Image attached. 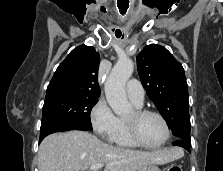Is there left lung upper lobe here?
Instances as JSON below:
<instances>
[{"instance_id": "left-lung-upper-lobe-1", "label": "left lung upper lobe", "mask_w": 223, "mask_h": 171, "mask_svg": "<svg viewBox=\"0 0 223 171\" xmlns=\"http://www.w3.org/2000/svg\"><path fill=\"white\" fill-rule=\"evenodd\" d=\"M136 60L142 85L173 135L190 141L188 86L182 65L157 44L144 47Z\"/></svg>"}]
</instances>
